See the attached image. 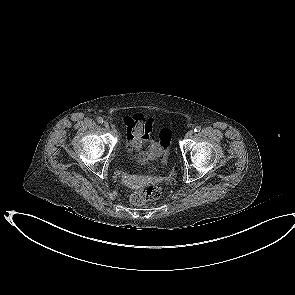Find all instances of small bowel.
Listing matches in <instances>:
<instances>
[{
  "mask_svg": "<svg viewBox=\"0 0 295 295\" xmlns=\"http://www.w3.org/2000/svg\"><path fill=\"white\" fill-rule=\"evenodd\" d=\"M125 124L128 127V139L126 149L128 152H139L142 147L150 140L152 133V121H145L143 116L135 114L125 119ZM118 180L129 188L135 190H150L154 187L152 180L144 181L143 179H136L130 177L126 173H120Z\"/></svg>",
  "mask_w": 295,
  "mask_h": 295,
  "instance_id": "obj_1",
  "label": "small bowel"
}]
</instances>
